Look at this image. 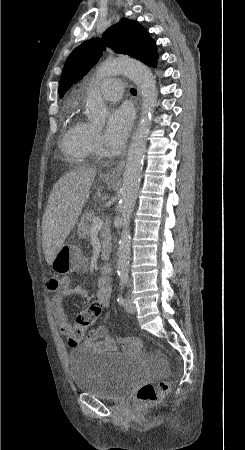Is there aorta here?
Returning a JSON list of instances; mask_svg holds the SVG:
<instances>
[{
	"label": "aorta",
	"mask_w": 245,
	"mask_h": 450,
	"mask_svg": "<svg viewBox=\"0 0 245 450\" xmlns=\"http://www.w3.org/2000/svg\"><path fill=\"white\" fill-rule=\"evenodd\" d=\"M118 73H126L140 88L142 95L141 118L128 150L120 191V212L123 229L119 239L117 270L121 278H127L131 242L130 218L140 186L147 138L157 103V88L155 78L147 66L139 61L123 58L102 63L96 71L94 83ZM86 112L92 123L102 125L105 122L107 107L95 85L91 87L88 93Z\"/></svg>",
	"instance_id": "obj_1"
}]
</instances>
